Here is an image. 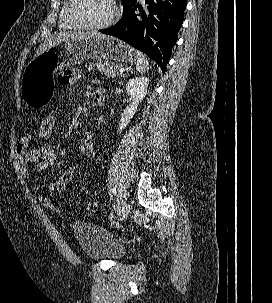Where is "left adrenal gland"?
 I'll return each mask as SVG.
<instances>
[{
	"instance_id": "obj_1",
	"label": "left adrenal gland",
	"mask_w": 272,
	"mask_h": 303,
	"mask_svg": "<svg viewBox=\"0 0 272 303\" xmlns=\"http://www.w3.org/2000/svg\"><path fill=\"white\" fill-rule=\"evenodd\" d=\"M126 75H128V74H124L123 77H125Z\"/></svg>"
}]
</instances>
